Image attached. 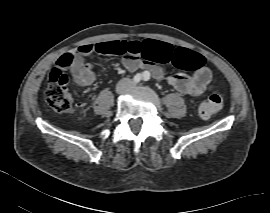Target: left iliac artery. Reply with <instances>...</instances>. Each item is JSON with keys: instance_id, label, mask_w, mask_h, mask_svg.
I'll return each instance as SVG.
<instances>
[{"instance_id": "44dca946", "label": "left iliac artery", "mask_w": 270, "mask_h": 213, "mask_svg": "<svg viewBox=\"0 0 270 213\" xmlns=\"http://www.w3.org/2000/svg\"><path fill=\"white\" fill-rule=\"evenodd\" d=\"M149 79H150V73H149L148 71H146V72L144 73L143 80H144L145 82H147V81H149Z\"/></svg>"}]
</instances>
